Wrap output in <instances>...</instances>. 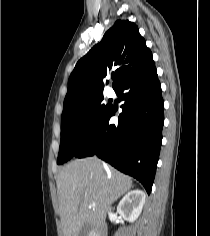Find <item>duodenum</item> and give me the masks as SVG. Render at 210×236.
<instances>
[{"mask_svg":"<svg viewBox=\"0 0 210 236\" xmlns=\"http://www.w3.org/2000/svg\"><path fill=\"white\" fill-rule=\"evenodd\" d=\"M90 236H106L105 234V230L104 229H101L95 233H92Z\"/></svg>","mask_w":210,"mask_h":236,"instance_id":"410a0bca","label":"duodenum"}]
</instances>
